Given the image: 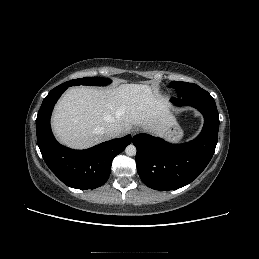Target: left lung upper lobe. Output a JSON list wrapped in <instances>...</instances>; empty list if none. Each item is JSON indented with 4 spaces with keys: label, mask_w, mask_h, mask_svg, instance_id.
Returning a JSON list of instances; mask_svg holds the SVG:
<instances>
[{
    "label": "left lung upper lobe",
    "mask_w": 259,
    "mask_h": 259,
    "mask_svg": "<svg viewBox=\"0 0 259 259\" xmlns=\"http://www.w3.org/2000/svg\"><path fill=\"white\" fill-rule=\"evenodd\" d=\"M170 87L175 88L178 98H185L196 95H209L207 91L194 83L172 81Z\"/></svg>",
    "instance_id": "obj_1"
}]
</instances>
